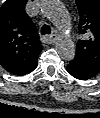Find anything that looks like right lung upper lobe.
Listing matches in <instances>:
<instances>
[{
    "label": "right lung upper lobe",
    "mask_w": 100,
    "mask_h": 118,
    "mask_svg": "<svg viewBox=\"0 0 100 118\" xmlns=\"http://www.w3.org/2000/svg\"><path fill=\"white\" fill-rule=\"evenodd\" d=\"M26 2L7 0L0 7V64L18 76L36 68L42 50L35 25L25 13Z\"/></svg>",
    "instance_id": "right-lung-upper-lobe-1"
}]
</instances>
